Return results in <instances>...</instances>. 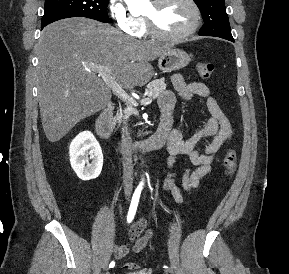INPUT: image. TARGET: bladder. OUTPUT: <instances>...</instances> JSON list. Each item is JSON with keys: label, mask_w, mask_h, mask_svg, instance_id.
Instances as JSON below:
<instances>
[{"label": "bladder", "mask_w": 289, "mask_h": 274, "mask_svg": "<svg viewBox=\"0 0 289 274\" xmlns=\"http://www.w3.org/2000/svg\"><path fill=\"white\" fill-rule=\"evenodd\" d=\"M126 274H142V273H137V272H129V273H126Z\"/></svg>", "instance_id": "obj_1"}]
</instances>
